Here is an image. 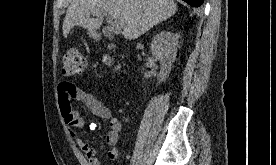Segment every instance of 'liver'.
<instances>
[{"instance_id": "1", "label": "liver", "mask_w": 276, "mask_h": 165, "mask_svg": "<svg viewBox=\"0 0 276 165\" xmlns=\"http://www.w3.org/2000/svg\"><path fill=\"white\" fill-rule=\"evenodd\" d=\"M176 11L177 4L173 0H73L63 22V35L66 38L74 26L95 32L106 14L123 24L124 38L137 39ZM91 14L96 18H90Z\"/></svg>"}]
</instances>
